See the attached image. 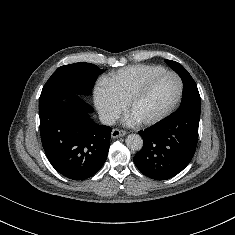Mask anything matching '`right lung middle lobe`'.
Masks as SVG:
<instances>
[{
  "mask_svg": "<svg viewBox=\"0 0 235 235\" xmlns=\"http://www.w3.org/2000/svg\"><path fill=\"white\" fill-rule=\"evenodd\" d=\"M104 70L90 63H74L59 67L44 85L39 102L65 94L91 93L97 76Z\"/></svg>",
  "mask_w": 235,
  "mask_h": 235,
  "instance_id": "right-lung-middle-lobe-1",
  "label": "right lung middle lobe"
}]
</instances>
